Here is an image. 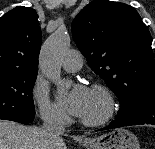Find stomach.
Listing matches in <instances>:
<instances>
[{
  "mask_svg": "<svg viewBox=\"0 0 155 149\" xmlns=\"http://www.w3.org/2000/svg\"><path fill=\"white\" fill-rule=\"evenodd\" d=\"M86 149H140L137 137L126 129H114L97 138L83 141Z\"/></svg>",
  "mask_w": 155,
  "mask_h": 149,
  "instance_id": "1",
  "label": "stomach"
}]
</instances>
